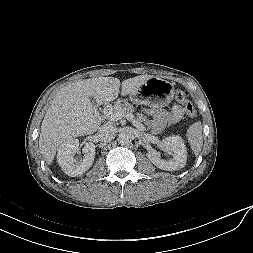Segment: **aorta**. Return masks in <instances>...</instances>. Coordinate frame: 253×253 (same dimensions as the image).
Listing matches in <instances>:
<instances>
[{
    "mask_svg": "<svg viewBox=\"0 0 253 253\" xmlns=\"http://www.w3.org/2000/svg\"><path fill=\"white\" fill-rule=\"evenodd\" d=\"M117 140L119 144L126 145L130 142L131 138L127 132H121L119 133Z\"/></svg>",
    "mask_w": 253,
    "mask_h": 253,
    "instance_id": "aorta-1",
    "label": "aorta"
}]
</instances>
